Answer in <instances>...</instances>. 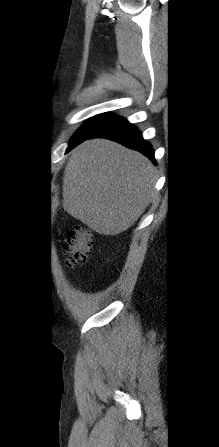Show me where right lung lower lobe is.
Listing matches in <instances>:
<instances>
[{
    "label": "right lung lower lobe",
    "mask_w": 219,
    "mask_h": 447,
    "mask_svg": "<svg viewBox=\"0 0 219 447\" xmlns=\"http://www.w3.org/2000/svg\"><path fill=\"white\" fill-rule=\"evenodd\" d=\"M99 137L114 140L125 145L128 148L137 150L147 156L153 163H155L154 151L150 144L142 138L141 133L133 124H130L125 119L121 118L115 120L94 135L84 138L83 140H80L75 144L69 146L68 150L74 148L76 145L87 139Z\"/></svg>",
    "instance_id": "1"
}]
</instances>
